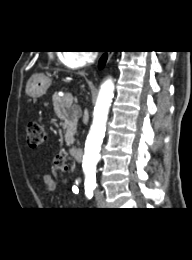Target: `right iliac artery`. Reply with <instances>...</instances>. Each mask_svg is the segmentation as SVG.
Instances as JSON below:
<instances>
[{
	"instance_id": "82829eb1",
	"label": "right iliac artery",
	"mask_w": 192,
	"mask_h": 260,
	"mask_svg": "<svg viewBox=\"0 0 192 260\" xmlns=\"http://www.w3.org/2000/svg\"><path fill=\"white\" fill-rule=\"evenodd\" d=\"M93 190H94V187H85V195L88 199H91L92 196H93Z\"/></svg>"
}]
</instances>
